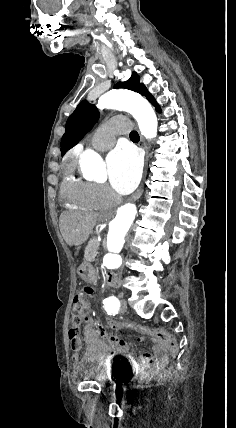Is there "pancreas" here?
I'll list each match as a JSON object with an SVG mask.
<instances>
[{
	"label": "pancreas",
	"mask_w": 236,
	"mask_h": 428,
	"mask_svg": "<svg viewBox=\"0 0 236 428\" xmlns=\"http://www.w3.org/2000/svg\"><path fill=\"white\" fill-rule=\"evenodd\" d=\"M99 246L100 244L97 238H92L85 248L84 260H87V262H94L98 254Z\"/></svg>",
	"instance_id": "1"
}]
</instances>
